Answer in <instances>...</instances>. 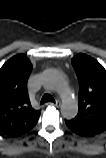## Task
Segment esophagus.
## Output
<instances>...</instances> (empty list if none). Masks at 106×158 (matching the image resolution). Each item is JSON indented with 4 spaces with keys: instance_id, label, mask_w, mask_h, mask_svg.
Listing matches in <instances>:
<instances>
[{
    "instance_id": "34e87169",
    "label": "esophagus",
    "mask_w": 106,
    "mask_h": 158,
    "mask_svg": "<svg viewBox=\"0 0 106 158\" xmlns=\"http://www.w3.org/2000/svg\"><path fill=\"white\" fill-rule=\"evenodd\" d=\"M48 104H50V105H55V106L59 107V106L61 105V101L56 100L55 103H53V102H48Z\"/></svg>"
}]
</instances>
